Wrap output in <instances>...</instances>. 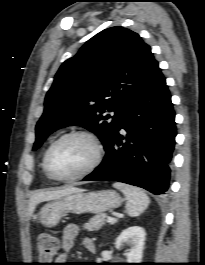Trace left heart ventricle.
<instances>
[{
	"label": "left heart ventricle",
	"instance_id": "b2bd125f",
	"mask_svg": "<svg viewBox=\"0 0 205 265\" xmlns=\"http://www.w3.org/2000/svg\"><path fill=\"white\" fill-rule=\"evenodd\" d=\"M94 147L83 137H71L59 143L51 152L49 165L59 176H71L82 171L93 159Z\"/></svg>",
	"mask_w": 205,
	"mask_h": 265
}]
</instances>
